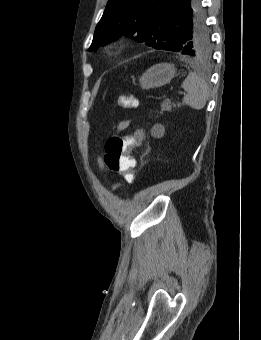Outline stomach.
<instances>
[{"instance_id": "1", "label": "stomach", "mask_w": 261, "mask_h": 340, "mask_svg": "<svg viewBox=\"0 0 261 340\" xmlns=\"http://www.w3.org/2000/svg\"><path fill=\"white\" fill-rule=\"evenodd\" d=\"M176 75L172 64L161 63L150 67L139 79L142 89L161 87L169 83Z\"/></svg>"}]
</instances>
